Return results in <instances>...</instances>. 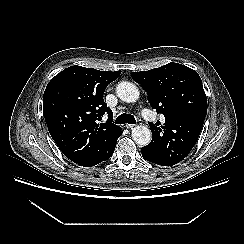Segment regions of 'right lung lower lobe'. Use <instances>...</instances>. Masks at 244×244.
<instances>
[{
    "instance_id": "obj_1",
    "label": "right lung lower lobe",
    "mask_w": 244,
    "mask_h": 244,
    "mask_svg": "<svg viewBox=\"0 0 244 244\" xmlns=\"http://www.w3.org/2000/svg\"><path fill=\"white\" fill-rule=\"evenodd\" d=\"M121 134H122V131L120 130L117 134L115 142L113 143V145L109 148V150L107 151V153L103 157H101L95 161L87 162V163H81L79 165L85 166V167H91V166L97 165V164L107 160L108 158H110L111 155L113 154L114 150H115L117 139L121 136Z\"/></svg>"
}]
</instances>
